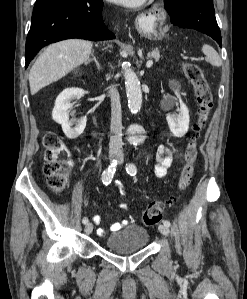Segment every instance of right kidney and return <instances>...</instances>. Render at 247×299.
Returning <instances> with one entry per match:
<instances>
[{"label": "right kidney", "mask_w": 247, "mask_h": 299, "mask_svg": "<svg viewBox=\"0 0 247 299\" xmlns=\"http://www.w3.org/2000/svg\"><path fill=\"white\" fill-rule=\"evenodd\" d=\"M83 95V89L68 88L62 91L55 101L52 118L55 122L61 124L65 136L69 139H75L80 136L86 127V116L80 119L69 118V112L72 108V104L70 102L72 100H79Z\"/></svg>", "instance_id": "ca27d5eb"}]
</instances>
